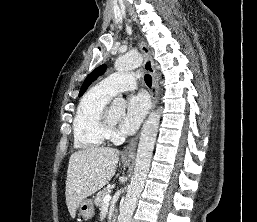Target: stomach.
Segmentation results:
<instances>
[{
	"label": "stomach",
	"mask_w": 257,
	"mask_h": 222,
	"mask_svg": "<svg viewBox=\"0 0 257 222\" xmlns=\"http://www.w3.org/2000/svg\"><path fill=\"white\" fill-rule=\"evenodd\" d=\"M79 216L83 219H91L94 216V203L92 199H84L78 205Z\"/></svg>",
	"instance_id": "obj_1"
}]
</instances>
